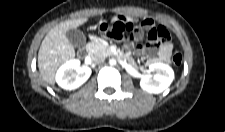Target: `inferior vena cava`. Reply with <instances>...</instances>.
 <instances>
[{
	"mask_svg": "<svg viewBox=\"0 0 225 132\" xmlns=\"http://www.w3.org/2000/svg\"><path fill=\"white\" fill-rule=\"evenodd\" d=\"M92 60L95 64H101L105 61V57L97 54L92 57Z\"/></svg>",
	"mask_w": 225,
	"mask_h": 132,
	"instance_id": "obj_1",
	"label": "inferior vena cava"
}]
</instances>
